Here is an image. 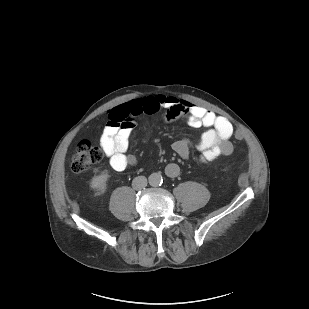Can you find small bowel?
Listing matches in <instances>:
<instances>
[{
    "instance_id": "c3829d8e",
    "label": "small bowel",
    "mask_w": 309,
    "mask_h": 309,
    "mask_svg": "<svg viewBox=\"0 0 309 309\" xmlns=\"http://www.w3.org/2000/svg\"><path fill=\"white\" fill-rule=\"evenodd\" d=\"M161 109H166L167 119L173 120L185 115L191 127L206 128L197 144L202 163H209L219 156H228L233 152L230 138L234 130L225 117L218 116L211 110L193 103L159 94L131 100L116 106L111 111L109 121L100 138V145L114 171L121 172L137 163L135 156L127 153L129 137L134 125L121 124L123 117L133 118L141 114H155ZM190 147L191 144L187 138H181L173 144L174 150L183 159L189 157ZM165 172L167 176L174 178L180 174V167L178 164L171 163L167 165Z\"/></svg>"
}]
</instances>
